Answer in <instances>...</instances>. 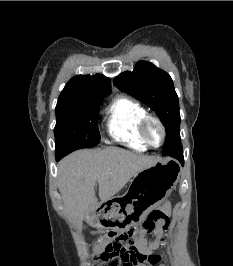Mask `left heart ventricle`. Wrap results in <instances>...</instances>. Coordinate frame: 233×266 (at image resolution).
<instances>
[{
	"label": "left heart ventricle",
	"mask_w": 233,
	"mask_h": 266,
	"mask_svg": "<svg viewBox=\"0 0 233 266\" xmlns=\"http://www.w3.org/2000/svg\"><path fill=\"white\" fill-rule=\"evenodd\" d=\"M147 135L152 144L158 145L161 142L162 132L160 127L156 123L151 122L148 125Z\"/></svg>",
	"instance_id": "b2bd125f"
}]
</instances>
